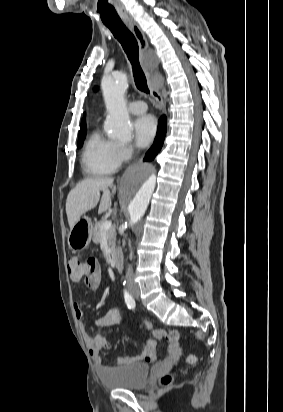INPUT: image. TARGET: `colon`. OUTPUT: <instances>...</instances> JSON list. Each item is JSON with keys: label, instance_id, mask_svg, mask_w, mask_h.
Segmentation results:
<instances>
[{"label": "colon", "instance_id": "5ec220e1", "mask_svg": "<svg viewBox=\"0 0 283 412\" xmlns=\"http://www.w3.org/2000/svg\"><path fill=\"white\" fill-rule=\"evenodd\" d=\"M68 272L72 279L80 280L90 272H94L97 268V261L94 258H88L85 262L80 259L71 258L67 263ZM166 341L175 343L179 340L180 335L176 331H169L162 336ZM161 337V338H162ZM194 356H189L187 361L189 363L195 362ZM171 381V376H165L161 379L163 385H167Z\"/></svg>", "mask_w": 283, "mask_h": 412}]
</instances>
